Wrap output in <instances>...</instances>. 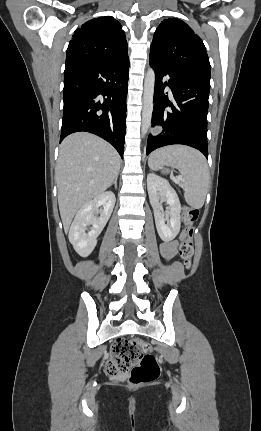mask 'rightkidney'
I'll return each instance as SVG.
<instances>
[{
    "instance_id": "1",
    "label": "right kidney",
    "mask_w": 261,
    "mask_h": 431,
    "mask_svg": "<svg viewBox=\"0 0 261 431\" xmlns=\"http://www.w3.org/2000/svg\"><path fill=\"white\" fill-rule=\"evenodd\" d=\"M115 202L116 198L113 192H103L84 204L77 212L71 224L68 237L80 256L87 257L94 250L97 237L109 220ZM101 206L103 208H100ZM95 213L99 214V216H95ZM90 225L92 227L88 230Z\"/></svg>"
}]
</instances>
